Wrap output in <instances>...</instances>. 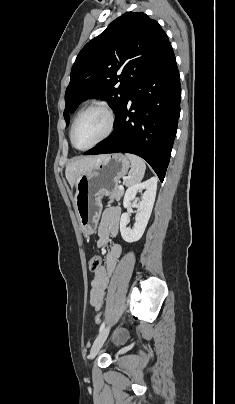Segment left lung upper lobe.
Segmentation results:
<instances>
[{
    "label": "left lung upper lobe",
    "mask_w": 235,
    "mask_h": 404,
    "mask_svg": "<svg viewBox=\"0 0 235 404\" xmlns=\"http://www.w3.org/2000/svg\"><path fill=\"white\" fill-rule=\"evenodd\" d=\"M170 44L157 21L127 12L88 42L73 64L64 118L88 98L107 100L117 114L139 76Z\"/></svg>",
    "instance_id": "1"
}]
</instances>
